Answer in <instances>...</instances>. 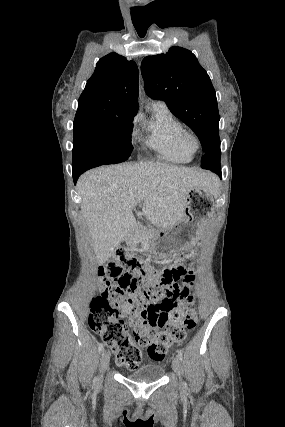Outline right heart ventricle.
Here are the masks:
<instances>
[{
  "label": "right heart ventricle",
  "instance_id": "e07e8e85",
  "mask_svg": "<svg viewBox=\"0 0 285 427\" xmlns=\"http://www.w3.org/2000/svg\"><path fill=\"white\" fill-rule=\"evenodd\" d=\"M150 113L149 119L143 121L147 131V145L166 161L190 162L192 153L180 141L182 124L163 103L153 104Z\"/></svg>",
  "mask_w": 285,
  "mask_h": 427
}]
</instances>
